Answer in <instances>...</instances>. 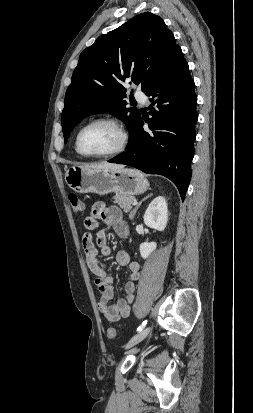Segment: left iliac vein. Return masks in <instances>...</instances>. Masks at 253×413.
I'll use <instances>...</instances> for the list:
<instances>
[{
	"label": "left iliac vein",
	"mask_w": 253,
	"mask_h": 413,
	"mask_svg": "<svg viewBox=\"0 0 253 413\" xmlns=\"http://www.w3.org/2000/svg\"><path fill=\"white\" fill-rule=\"evenodd\" d=\"M150 331H151V327H146L145 329H143L141 332H139L138 334H136L129 340L125 348L129 349L135 346L136 344H138L139 342H141L143 339H145L148 336Z\"/></svg>",
	"instance_id": "4c4485c4"
}]
</instances>
